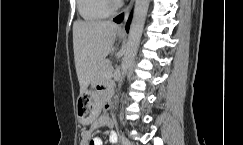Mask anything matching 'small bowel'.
<instances>
[{
  "label": "small bowel",
  "mask_w": 243,
  "mask_h": 145,
  "mask_svg": "<svg viewBox=\"0 0 243 145\" xmlns=\"http://www.w3.org/2000/svg\"><path fill=\"white\" fill-rule=\"evenodd\" d=\"M105 108L109 107V103L105 101ZM112 123L110 119L106 116H101L92 125L90 129L83 130L81 132V142L80 145H103V140L100 137L93 136V130L100 126H111ZM109 141L112 144L118 142V135L115 131H111L109 134Z\"/></svg>",
  "instance_id": "small-bowel-1"
}]
</instances>
